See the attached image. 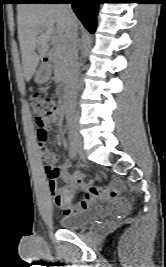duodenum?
<instances>
[{
	"mask_svg": "<svg viewBox=\"0 0 166 267\" xmlns=\"http://www.w3.org/2000/svg\"><path fill=\"white\" fill-rule=\"evenodd\" d=\"M51 60L49 58V56H44V58L42 59V71L45 74H49L51 72ZM58 96L61 100H66L68 97V86L66 83H63L59 89H58Z\"/></svg>",
	"mask_w": 166,
	"mask_h": 267,
	"instance_id": "obj_1",
	"label": "duodenum"
}]
</instances>
